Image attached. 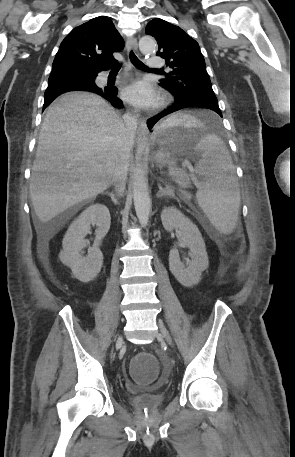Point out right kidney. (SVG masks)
Wrapping results in <instances>:
<instances>
[{"label":"right kidney","mask_w":295,"mask_h":457,"mask_svg":"<svg viewBox=\"0 0 295 457\" xmlns=\"http://www.w3.org/2000/svg\"><path fill=\"white\" fill-rule=\"evenodd\" d=\"M111 216L103 204H94L86 208L69 226L62 245L59 258L63 264L71 268L73 275L82 282L94 279L101 270L103 255L99 249L102 238L108 233ZM91 225H96L95 241L88 249V255L82 256L86 246L85 236L90 232Z\"/></svg>","instance_id":"right-kidney-1"}]
</instances>
